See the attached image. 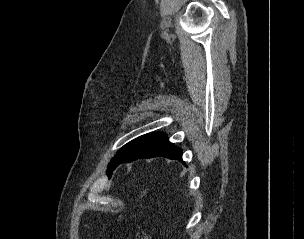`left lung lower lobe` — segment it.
<instances>
[{
  "mask_svg": "<svg viewBox=\"0 0 304 239\" xmlns=\"http://www.w3.org/2000/svg\"><path fill=\"white\" fill-rule=\"evenodd\" d=\"M166 157L182 161V150L170 143L165 133H153L135 145L121 160L132 162L142 158Z\"/></svg>",
  "mask_w": 304,
  "mask_h": 239,
  "instance_id": "obj_1",
  "label": "left lung lower lobe"
}]
</instances>
